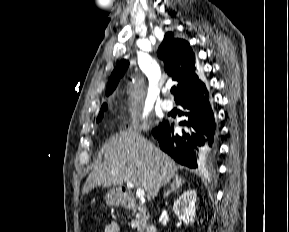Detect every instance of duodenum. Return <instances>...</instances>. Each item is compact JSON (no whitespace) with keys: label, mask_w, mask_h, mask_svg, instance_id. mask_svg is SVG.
Returning a JSON list of instances; mask_svg holds the SVG:
<instances>
[{"label":"duodenum","mask_w":289,"mask_h":232,"mask_svg":"<svg viewBox=\"0 0 289 232\" xmlns=\"http://www.w3.org/2000/svg\"><path fill=\"white\" fill-rule=\"evenodd\" d=\"M118 201L119 203L127 208V209H136L144 215L148 214L147 207L140 205L137 203L133 193L130 190L122 189L118 194ZM146 232H157V228L155 225L150 224L147 227Z\"/></svg>","instance_id":"duodenum-1"}]
</instances>
